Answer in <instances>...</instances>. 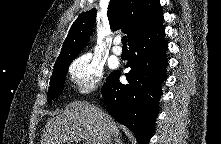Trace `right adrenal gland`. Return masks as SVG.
Here are the masks:
<instances>
[{
	"label": "right adrenal gland",
	"instance_id": "1",
	"mask_svg": "<svg viewBox=\"0 0 221 144\" xmlns=\"http://www.w3.org/2000/svg\"><path fill=\"white\" fill-rule=\"evenodd\" d=\"M112 144H123V142L119 138H114Z\"/></svg>",
	"mask_w": 221,
	"mask_h": 144
}]
</instances>
